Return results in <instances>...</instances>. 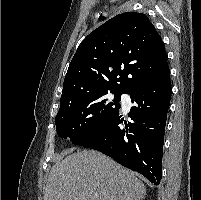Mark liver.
I'll list each match as a JSON object with an SVG mask.
<instances>
[{"label":"liver","mask_w":201,"mask_h":200,"mask_svg":"<svg viewBox=\"0 0 201 200\" xmlns=\"http://www.w3.org/2000/svg\"><path fill=\"white\" fill-rule=\"evenodd\" d=\"M134 173L93 150L77 151L51 169L44 200H142Z\"/></svg>","instance_id":"1"}]
</instances>
